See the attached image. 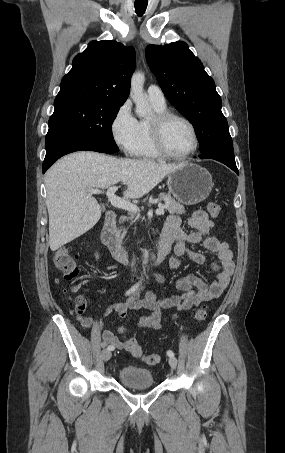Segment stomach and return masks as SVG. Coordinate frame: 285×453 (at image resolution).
<instances>
[{"instance_id":"0dacf381","label":"stomach","mask_w":285,"mask_h":453,"mask_svg":"<svg viewBox=\"0 0 285 453\" xmlns=\"http://www.w3.org/2000/svg\"><path fill=\"white\" fill-rule=\"evenodd\" d=\"M167 185L169 192L180 203L195 205L209 196L214 183L207 169L185 162L168 174Z\"/></svg>"}]
</instances>
